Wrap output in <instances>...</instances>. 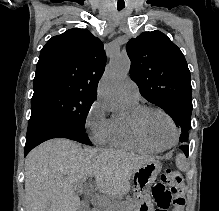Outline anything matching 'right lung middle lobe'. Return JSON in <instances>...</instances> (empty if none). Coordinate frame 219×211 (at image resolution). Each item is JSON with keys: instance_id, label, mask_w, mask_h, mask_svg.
I'll return each mask as SVG.
<instances>
[{"instance_id": "1", "label": "right lung middle lobe", "mask_w": 219, "mask_h": 211, "mask_svg": "<svg viewBox=\"0 0 219 211\" xmlns=\"http://www.w3.org/2000/svg\"><path fill=\"white\" fill-rule=\"evenodd\" d=\"M95 96L62 87H48L34 92L31 99V118L51 117L81 128L85 122Z\"/></svg>"}]
</instances>
